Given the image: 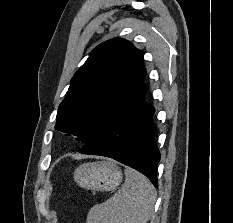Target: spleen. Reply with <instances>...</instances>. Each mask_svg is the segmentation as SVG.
<instances>
[{"label": "spleen", "instance_id": "spleen-1", "mask_svg": "<svg viewBox=\"0 0 233 223\" xmlns=\"http://www.w3.org/2000/svg\"><path fill=\"white\" fill-rule=\"evenodd\" d=\"M156 189L149 179L126 171V181L112 197L89 209L86 223H147L154 209Z\"/></svg>", "mask_w": 233, "mask_h": 223}]
</instances>
